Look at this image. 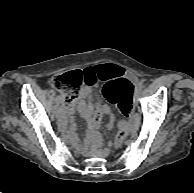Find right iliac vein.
<instances>
[{
	"instance_id": "1",
	"label": "right iliac vein",
	"mask_w": 194,
	"mask_h": 193,
	"mask_svg": "<svg viewBox=\"0 0 194 193\" xmlns=\"http://www.w3.org/2000/svg\"><path fill=\"white\" fill-rule=\"evenodd\" d=\"M62 100H63V98H62ZM56 116H57L58 118H60V117H61L59 113H57V114H56Z\"/></svg>"
}]
</instances>
